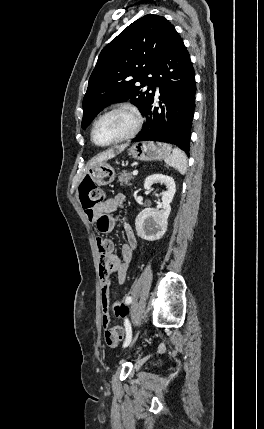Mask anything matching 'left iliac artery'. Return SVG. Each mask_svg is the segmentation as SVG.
<instances>
[{"instance_id": "left-iliac-artery-1", "label": "left iliac artery", "mask_w": 264, "mask_h": 429, "mask_svg": "<svg viewBox=\"0 0 264 429\" xmlns=\"http://www.w3.org/2000/svg\"><path fill=\"white\" fill-rule=\"evenodd\" d=\"M131 302H132V297L128 296L126 298V303L130 304ZM124 326H125V330H126V338H125V341L123 343V347H127L129 345V343L131 342V339H132V329H131V324H130L128 319H125Z\"/></svg>"}]
</instances>
